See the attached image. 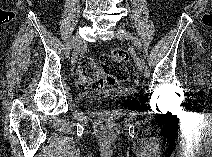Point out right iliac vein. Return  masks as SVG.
I'll list each match as a JSON object with an SVG mask.
<instances>
[{
  "instance_id": "obj_1",
  "label": "right iliac vein",
  "mask_w": 212,
  "mask_h": 157,
  "mask_svg": "<svg viewBox=\"0 0 212 157\" xmlns=\"http://www.w3.org/2000/svg\"><path fill=\"white\" fill-rule=\"evenodd\" d=\"M74 50L72 53V57H71V64L75 65V63L77 62L78 59V55L82 46V40L79 36H74Z\"/></svg>"
}]
</instances>
